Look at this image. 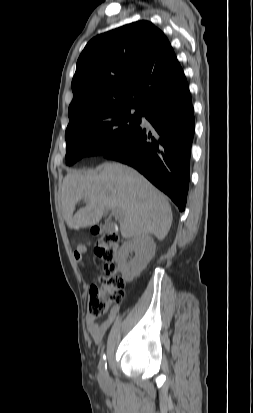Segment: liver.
Masks as SVG:
<instances>
[{"instance_id":"6515ba94","label":"liver","mask_w":253,"mask_h":413,"mask_svg":"<svg viewBox=\"0 0 253 413\" xmlns=\"http://www.w3.org/2000/svg\"><path fill=\"white\" fill-rule=\"evenodd\" d=\"M97 173L72 171L61 188L62 216L68 228L79 229L100 222L105 210L121 212L123 238L153 234L163 240L172 224L171 207L166 197L136 170L115 162L102 164ZM85 207L75 214V206Z\"/></svg>"}]
</instances>
